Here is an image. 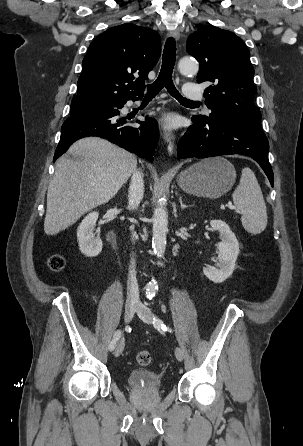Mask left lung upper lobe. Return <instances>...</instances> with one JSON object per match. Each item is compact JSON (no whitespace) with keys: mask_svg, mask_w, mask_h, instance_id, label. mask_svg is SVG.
<instances>
[{"mask_svg":"<svg viewBox=\"0 0 303 446\" xmlns=\"http://www.w3.org/2000/svg\"><path fill=\"white\" fill-rule=\"evenodd\" d=\"M187 52L200 63L197 82H210L204 92L212 113L193 116L201 122L220 120L258 135L261 113L254 104L256 88L250 53L234 33L215 26H203L190 35Z\"/></svg>","mask_w":303,"mask_h":446,"instance_id":"obj_1","label":"left lung upper lobe"}]
</instances>
